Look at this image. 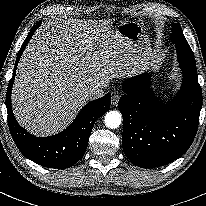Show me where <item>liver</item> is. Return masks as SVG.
Returning <instances> with one entry per match:
<instances>
[{
  "label": "liver",
  "mask_w": 206,
  "mask_h": 206,
  "mask_svg": "<svg viewBox=\"0 0 206 206\" xmlns=\"http://www.w3.org/2000/svg\"><path fill=\"white\" fill-rule=\"evenodd\" d=\"M143 69L131 43L107 21L63 20L32 37L18 63L12 107L18 123L34 135L67 127L90 101L88 90Z\"/></svg>",
  "instance_id": "1"
}]
</instances>
